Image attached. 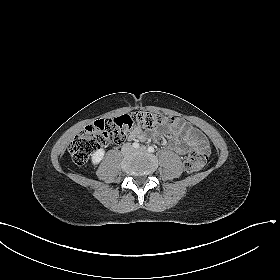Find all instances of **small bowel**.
<instances>
[{
	"label": "small bowel",
	"instance_id": "c3829d8e",
	"mask_svg": "<svg viewBox=\"0 0 280 280\" xmlns=\"http://www.w3.org/2000/svg\"><path fill=\"white\" fill-rule=\"evenodd\" d=\"M174 134L176 136L183 135L181 142H176L173 149L179 154H185L190 146H206L208 147L207 140L205 136L198 130L191 127L188 123L177 120L174 126ZM130 138L132 140H144L146 134L139 128L134 129Z\"/></svg>",
	"mask_w": 280,
	"mask_h": 280
}]
</instances>
